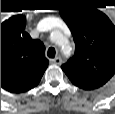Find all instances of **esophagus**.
<instances>
[{
  "mask_svg": "<svg viewBox=\"0 0 115 114\" xmlns=\"http://www.w3.org/2000/svg\"><path fill=\"white\" fill-rule=\"evenodd\" d=\"M52 63L57 64V65H61L62 64V59L61 57H55L54 59L51 60Z\"/></svg>",
  "mask_w": 115,
  "mask_h": 114,
  "instance_id": "esophagus-1",
  "label": "esophagus"
}]
</instances>
